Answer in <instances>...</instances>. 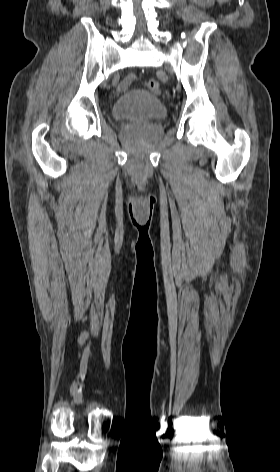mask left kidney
Here are the masks:
<instances>
[{
  "label": "left kidney",
  "instance_id": "obj_1",
  "mask_svg": "<svg viewBox=\"0 0 280 472\" xmlns=\"http://www.w3.org/2000/svg\"><path fill=\"white\" fill-rule=\"evenodd\" d=\"M192 1L195 2V3H201L202 0H192ZM219 1L222 2V1H225V0H219Z\"/></svg>",
  "mask_w": 280,
  "mask_h": 472
}]
</instances>
